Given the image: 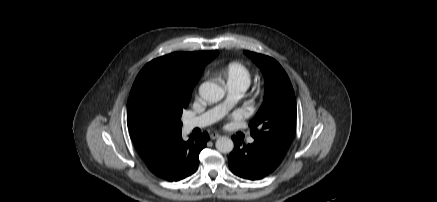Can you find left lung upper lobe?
Listing matches in <instances>:
<instances>
[{
	"label": "left lung upper lobe",
	"instance_id": "1",
	"mask_svg": "<svg viewBox=\"0 0 437 202\" xmlns=\"http://www.w3.org/2000/svg\"><path fill=\"white\" fill-rule=\"evenodd\" d=\"M265 77L264 101L250 121L254 142L283 159L295 136L296 100L292 84L281 65L269 56L244 51Z\"/></svg>",
	"mask_w": 437,
	"mask_h": 202
}]
</instances>
